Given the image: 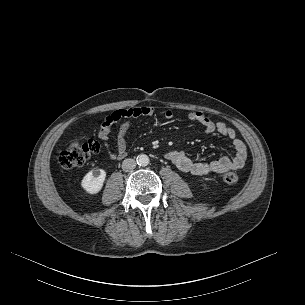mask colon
Listing matches in <instances>:
<instances>
[{
    "instance_id": "5ec220e1",
    "label": "colon",
    "mask_w": 305,
    "mask_h": 305,
    "mask_svg": "<svg viewBox=\"0 0 305 305\" xmlns=\"http://www.w3.org/2000/svg\"><path fill=\"white\" fill-rule=\"evenodd\" d=\"M100 146L98 142L89 139L86 142H71L59 155V162L64 168H73L84 165L92 156L98 154ZM224 184L232 185L238 182L237 174L224 173L221 176Z\"/></svg>"
}]
</instances>
